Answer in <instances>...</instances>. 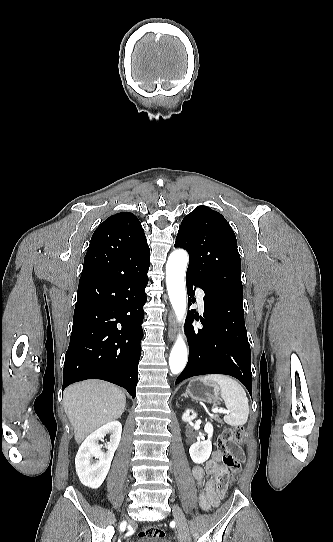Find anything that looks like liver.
<instances>
[{"label": "liver", "mask_w": 333, "mask_h": 542, "mask_svg": "<svg viewBox=\"0 0 333 542\" xmlns=\"http://www.w3.org/2000/svg\"><path fill=\"white\" fill-rule=\"evenodd\" d=\"M63 402L65 414L74 428L75 442L81 444L88 434L122 416L126 396L113 384L86 380L66 388Z\"/></svg>", "instance_id": "1"}]
</instances>
